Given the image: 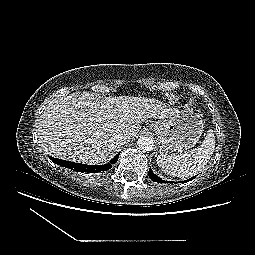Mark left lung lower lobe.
<instances>
[{"instance_id": "obj_1", "label": "left lung lower lobe", "mask_w": 255, "mask_h": 255, "mask_svg": "<svg viewBox=\"0 0 255 255\" xmlns=\"http://www.w3.org/2000/svg\"><path fill=\"white\" fill-rule=\"evenodd\" d=\"M148 175L150 177V179L154 182H159V183H171L169 181H165V180H162L161 178H159L158 176H156L151 169H149V172H148ZM194 178V177H193ZM192 180V179H190ZM189 180H186L185 182H188Z\"/></svg>"}]
</instances>
